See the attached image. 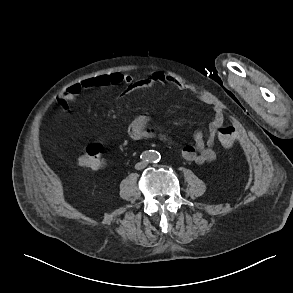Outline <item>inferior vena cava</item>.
I'll list each match as a JSON object with an SVG mask.
<instances>
[{
  "label": "inferior vena cava",
  "mask_w": 293,
  "mask_h": 293,
  "mask_svg": "<svg viewBox=\"0 0 293 293\" xmlns=\"http://www.w3.org/2000/svg\"><path fill=\"white\" fill-rule=\"evenodd\" d=\"M146 165H147L146 162H140V163H137V164L135 165V168H136L137 170H140V169H143L144 167H146Z\"/></svg>",
  "instance_id": "obj_1"
}]
</instances>
